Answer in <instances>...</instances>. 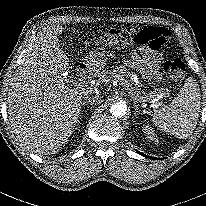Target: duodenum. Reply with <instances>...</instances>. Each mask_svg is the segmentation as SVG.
<instances>
[{"mask_svg":"<svg viewBox=\"0 0 206 206\" xmlns=\"http://www.w3.org/2000/svg\"><path fill=\"white\" fill-rule=\"evenodd\" d=\"M86 71H87V68L80 67L77 72H78L79 74H84Z\"/></svg>","mask_w":206,"mask_h":206,"instance_id":"410a0bca","label":"duodenum"}]
</instances>
